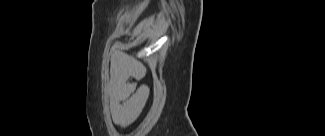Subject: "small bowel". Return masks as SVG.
Here are the masks:
<instances>
[{
	"instance_id": "c3829d8e",
	"label": "small bowel",
	"mask_w": 325,
	"mask_h": 136,
	"mask_svg": "<svg viewBox=\"0 0 325 136\" xmlns=\"http://www.w3.org/2000/svg\"><path fill=\"white\" fill-rule=\"evenodd\" d=\"M143 76L144 71L126 56L119 52L113 54L110 107L113 121L117 125H128L145 106L149 87L146 84L137 86L135 83Z\"/></svg>"
}]
</instances>
